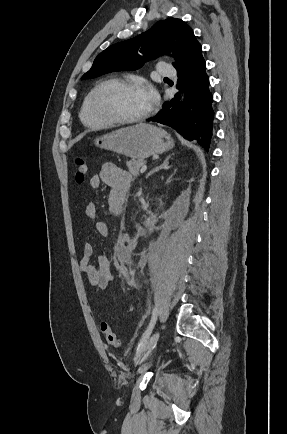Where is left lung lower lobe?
<instances>
[{
	"instance_id": "0a47b994",
	"label": "left lung lower lobe",
	"mask_w": 287,
	"mask_h": 434,
	"mask_svg": "<svg viewBox=\"0 0 287 434\" xmlns=\"http://www.w3.org/2000/svg\"><path fill=\"white\" fill-rule=\"evenodd\" d=\"M202 53L177 69L176 87L183 88L184 102L179 105V94L163 104V109L147 121L158 122L175 129L185 139L195 140L206 151L213 136V97L209 91V77Z\"/></svg>"
}]
</instances>
